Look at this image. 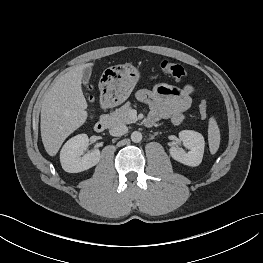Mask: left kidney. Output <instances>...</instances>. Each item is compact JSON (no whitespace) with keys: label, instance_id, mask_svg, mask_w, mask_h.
Returning a JSON list of instances; mask_svg holds the SVG:
<instances>
[{"label":"left kidney","instance_id":"left-kidney-1","mask_svg":"<svg viewBox=\"0 0 263 263\" xmlns=\"http://www.w3.org/2000/svg\"><path fill=\"white\" fill-rule=\"evenodd\" d=\"M179 138L190 151L186 153L183 149L171 147L170 156L184 165L198 166L202 162L205 147L202 134L193 130H183L179 132Z\"/></svg>","mask_w":263,"mask_h":263}]
</instances>
